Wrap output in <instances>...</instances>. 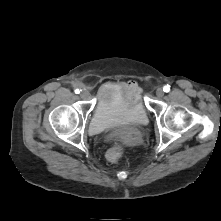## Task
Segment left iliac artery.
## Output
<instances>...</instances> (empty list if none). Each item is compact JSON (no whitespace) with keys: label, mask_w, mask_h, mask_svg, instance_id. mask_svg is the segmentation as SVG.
<instances>
[{"label":"left iliac artery","mask_w":221,"mask_h":221,"mask_svg":"<svg viewBox=\"0 0 221 221\" xmlns=\"http://www.w3.org/2000/svg\"><path fill=\"white\" fill-rule=\"evenodd\" d=\"M163 90H164V92H169L170 91V86L169 85H165Z\"/></svg>","instance_id":"left-iliac-artery-1"}]
</instances>
